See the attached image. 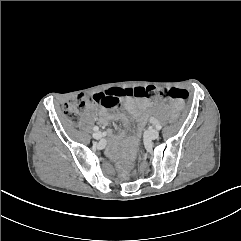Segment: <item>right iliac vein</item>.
Returning a JSON list of instances; mask_svg holds the SVG:
<instances>
[{
	"label": "right iliac vein",
	"mask_w": 241,
	"mask_h": 241,
	"mask_svg": "<svg viewBox=\"0 0 241 241\" xmlns=\"http://www.w3.org/2000/svg\"><path fill=\"white\" fill-rule=\"evenodd\" d=\"M93 137H94L95 139H101L102 133L99 132V131H96V132L93 134Z\"/></svg>",
	"instance_id": "63e3f726"
}]
</instances>
